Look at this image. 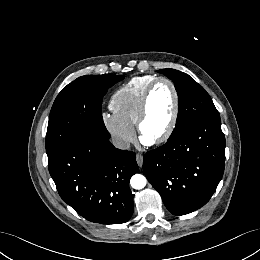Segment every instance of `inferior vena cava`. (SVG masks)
I'll use <instances>...</instances> for the list:
<instances>
[{
	"label": "inferior vena cava",
	"instance_id": "1",
	"mask_svg": "<svg viewBox=\"0 0 260 260\" xmlns=\"http://www.w3.org/2000/svg\"><path fill=\"white\" fill-rule=\"evenodd\" d=\"M112 144L114 145V147L121 149V150H128L130 148V143L121 138H113Z\"/></svg>",
	"mask_w": 260,
	"mask_h": 260
}]
</instances>
